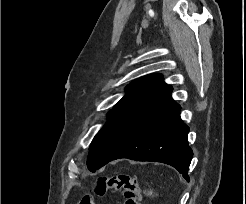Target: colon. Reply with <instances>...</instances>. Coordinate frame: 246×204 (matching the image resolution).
Returning a JSON list of instances; mask_svg holds the SVG:
<instances>
[{"instance_id": "5ec220e1", "label": "colon", "mask_w": 246, "mask_h": 204, "mask_svg": "<svg viewBox=\"0 0 246 204\" xmlns=\"http://www.w3.org/2000/svg\"><path fill=\"white\" fill-rule=\"evenodd\" d=\"M107 190L120 192L123 204H141V195L138 181L126 174L111 178H98L93 187V193H85L78 204H95L94 195L103 196Z\"/></svg>"}]
</instances>
